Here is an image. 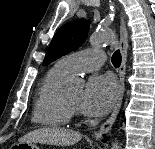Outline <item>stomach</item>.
<instances>
[{"mask_svg": "<svg viewBox=\"0 0 155 149\" xmlns=\"http://www.w3.org/2000/svg\"><path fill=\"white\" fill-rule=\"evenodd\" d=\"M13 149H39L35 143L18 142L13 145Z\"/></svg>", "mask_w": 155, "mask_h": 149, "instance_id": "stomach-1", "label": "stomach"}]
</instances>
